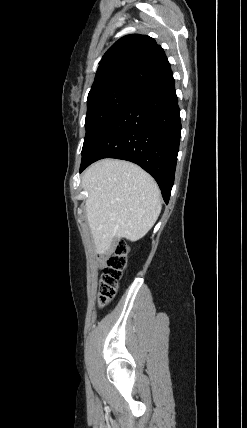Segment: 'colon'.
Returning a JSON list of instances; mask_svg holds the SVG:
<instances>
[{
  "label": "colon",
  "instance_id": "obj_1",
  "mask_svg": "<svg viewBox=\"0 0 247 428\" xmlns=\"http://www.w3.org/2000/svg\"><path fill=\"white\" fill-rule=\"evenodd\" d=\"M129 252V245L120 241L111 252L103 256L104 269L99 283L100 306L107 305L114 298L128 265Z\"/></svg>",
  "mask_w": 247,
  "mask_h": 428
}]
</instances>
